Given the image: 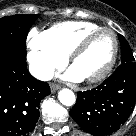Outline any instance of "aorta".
Returning <instances> with one entry per match:
<instances>
[{"label":"aorta","mask_w":136,"mask_h":136,"mask_svg":"<svg viewBox=\"0 0 136 136\" xmlns=\"http://www.w3.org/2000/svg\"><path fill=\"white\" fill-rule=\"evenodd\" d=\"M58 99L65 106H72L75 103L74 92L67 88L58 93Z\"/></svg>","instance_id":"762f6f07"}]
</instances>
